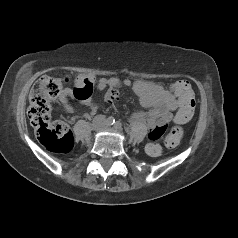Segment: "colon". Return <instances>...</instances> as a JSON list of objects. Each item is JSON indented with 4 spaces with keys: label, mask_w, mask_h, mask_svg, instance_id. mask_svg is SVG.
<instances>
[{
    "label": "colon",
    "mask_w": 238,
    "mask_h": 238,
    "mask_svg": "<svg viewBox=\"0 0 238 238\" xmlns=\"http://www.w3.org/2000/svg\"><path fill=\"white\" fill-rule=\"evenodd\" d=\"M64 81H67V78L57 79L43 76L33 86L29 96V120L41 141L57 152L69 150L72 142L66 124L51 119V103L63 93ZM178 82L175 91L179 96V102L174 119L177 124L181 125L192 118L196 101L190 84L186 81ZM74 95L77 98L79 94L75 91ZM109 98L114 99L116 95L112 93ZM165 132L164 125H157L151 129L148 138L152 143L146 147L149 155L158 156L161 153L160 145L155 142L162 138ZM182 135L181 127H173L165 138V145L169 148L176 147L180 143Z\"/></svg>",
    "instance_id": "1"
}]
</instances>
